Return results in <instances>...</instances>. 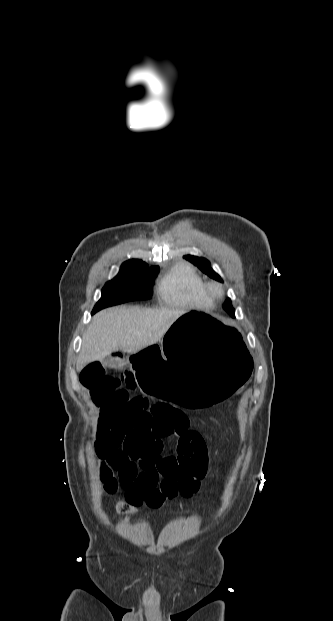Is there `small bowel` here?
<instances>
[{"mask_svg":"<svg viewBox=\"0 0 333 621\" xmlns=\"http://www.w3.org/2000/svg\"><path fill=\"white\" fill-rule=\"evenodd\" d=\"M124 363L123 355L114 352L88 362L79 374L81 387L99 409L97 456L103 467L118 471L128 462H138L141 471L127 486L124 499L132 509L157 508L165 499L192 496L208 468L203 439L189 429L182 410L162 402L150 404L134 393L136 382L130 372L120 377L109 374L123 369ZM170 436L178 437V453L162 457L163 439Z\"/></svg>","mask_w":333,"mask_h":621,"instance_id":"1","label":"small bowel"}]
</instances>
